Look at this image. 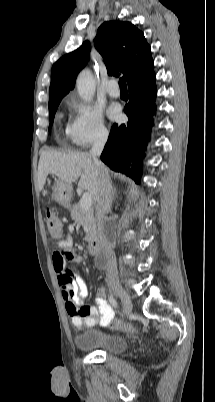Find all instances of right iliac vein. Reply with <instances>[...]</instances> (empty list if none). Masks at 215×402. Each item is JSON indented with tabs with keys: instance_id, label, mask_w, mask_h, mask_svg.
Segmentation results:
<instances>
[{
	"instance_id": "obj_1",
	"label": "right iliac vein",
	"mask_w": 215,
	"mask_h": 402,
	"mask_svg": "<svg viewBox=\"0 0 215 402\" xmlns=\"http://www.w3.org/2000/svg\"><path fill=\"white\" fill-rule=\"evenodd\" d=\"M112 289L115 294L121 299L123 304V311L126 315L130 314L132 311V301L129 294L122 289L118 284H113Z\"/></svg>"
}]
</instances>
